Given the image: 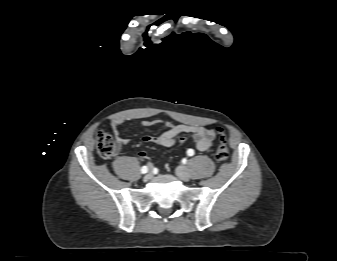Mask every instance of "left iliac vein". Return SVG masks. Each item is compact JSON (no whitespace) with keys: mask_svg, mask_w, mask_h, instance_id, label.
I'll list each match as a JSON object with an SVG mask.
<instances>
[{"mask_svg":"<svg viewBox=\"0 0 337 261\" xmlns=\"http://www.w3.org/2000/svg\"><path fill=\"white\" fill-rule=\"evenodd\" d=\"M176 175L184 181H187L190 179V172L186 166H179L176 169Z\"/></svg>","mask_w":337,"mask_h":261,"instance_id":"obj_1","label":"left iliac vein"}]
</instances>
